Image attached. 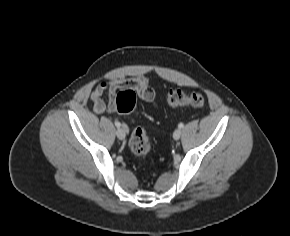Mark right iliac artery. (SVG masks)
Instances as JSON below:
<instances>
[{"mask_svg":"<svg viewBox=\"0 0 290 236\" xmlns=\"http://www.w3.org/2000/svg\"><path fill=\"white\" fill-rule=\"evenodd\" d=\"M115 125H116V127H120L121 126L120 122H118V121L115 122Z\"/></svg>","mask_w":290,"mask_h":236,"instance_id":"obj_1","label":"right iliac artery"}]
</instances>
